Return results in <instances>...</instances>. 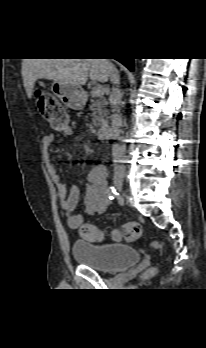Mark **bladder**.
Wrapping results in <instances>:
<instances>
[{"label":"bladder","instance_id":"obj_1","mask_svg":"<svg viewBox=\"0 0 206 348\" xmlns=\"http://www.w3.org/2000/svg\"><path fill=\"white\" fill-rule=\"evenodd\" d=\"M72 254L81 266L102 272L119 271L136 264L140 255L137 249L121 243L96 244L89 241H75Z\"/></svg>","mask_w":206,"mask_h":348}]
</instances>
